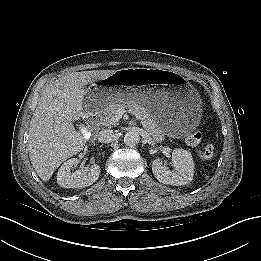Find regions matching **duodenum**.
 Listing matches in <instances>:
<instances>
[{"label": "duodenum", "instance_id": "410a0bca", "mask_svg": "<svg viewBox=\"0 0 261 261\" xmlns=\"http://www.w3.org/2000/svg\"><path fill=\"white\" fill-rule=\"evenodd\" d=\"M100 121H101L100 116L99 114L96 113L90 114L87 118L88 126L95 130L99 129Z\"/></svg>", "mask_w": 261, "mask_h": 261}]
</instances>
